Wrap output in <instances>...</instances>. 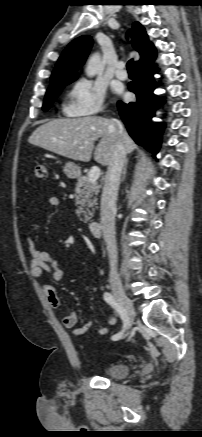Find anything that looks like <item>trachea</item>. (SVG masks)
Returning <instances> with one entry per match:
<instances>
[{"mask_svg":"<svg viewBox=\"0 0 202 437\" xmlns=\"http://www.w3.org/2000/svg\"><path fill=\"white\" fill-rule=\"evenodd\" d=\"M127 70L128 71H134L135 70V68H134V61H133V59H130L128 62H127Z\"/></svg>","mask_w":202,"mask_h":437,"instance_id":"3493384b","label":"trachea"}]
</instances>
